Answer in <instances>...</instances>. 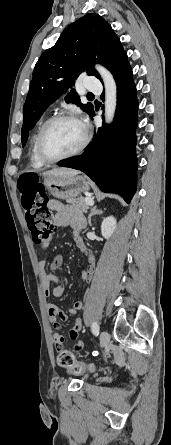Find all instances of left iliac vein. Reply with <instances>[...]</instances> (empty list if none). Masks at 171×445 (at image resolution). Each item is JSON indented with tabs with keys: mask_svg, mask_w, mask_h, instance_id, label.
<instances>
[{
	"mask_svg": "<svg viewBox=\"0 0 171 445\" xmlns=\"http://www.w3.org/2000/svg\"><path fill=\"white\" fill-rule=\"evenodd\" d=\"M99 341H100L101 348L108 346L110 343V336H109L108 332L102 331L99 336Z\"/></svg>",
	"mask_w": 171,
	"mask_h": 445,
	"instance_id": "left-iliac-vein-1",
	"label": "left iliac vein"
}]
</instances>
